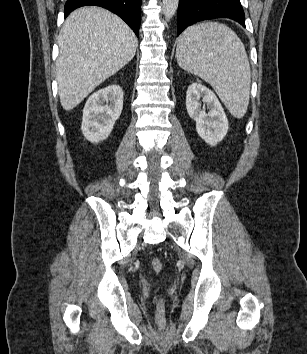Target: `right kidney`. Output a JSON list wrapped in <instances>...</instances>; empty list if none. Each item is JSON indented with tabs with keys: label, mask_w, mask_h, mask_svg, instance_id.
Segmentation results:
<instances>
[{
	"label": "right kidney",
	"mask_w": 307,
	"mask_h": 354,
	"mask_svg": "<svg viewBox=\"0 0 307 354\" xmlns=\"http://www.w3.org/2000/svg\"><path fill=\"white\" fill-rule=\"evenodd\" d=\"M123 108V90L113 84L93 93L83 109L81 130L87 140L98 143L113 130Z\"/></svg>",
	"instance_id": "obj_1"
}]
</instances>
